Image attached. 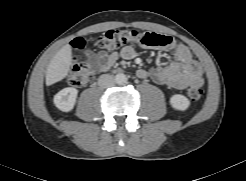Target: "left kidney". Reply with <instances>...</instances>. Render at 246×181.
<instances>
[{"label":"left kidney","instance_id":"5707ae66","mask_svg":"<svg viewBox=\"0 0 246 181\" xmlns=\"http://www.w3.org/2000/svg\"><path fill=\"white\" fill-rule=\"evenodd\" d=\"M170 104L175 110L184 111L190 106V101L186 96L176 94L170 98Z\"/></svg>","mask_w":246,"mask_h":181}]
</instances>
